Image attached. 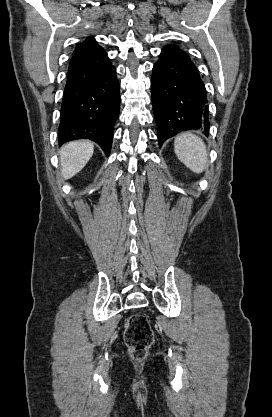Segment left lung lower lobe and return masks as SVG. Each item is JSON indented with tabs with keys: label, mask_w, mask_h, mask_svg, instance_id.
I'll list each match as a JSON object with an SVG mask.
<instances>
[{
	"label": "left lung lower lobe",
	"mask_w": 272,
	"mask_h": 417,
	"mask_svg": "<svg viewBox=\"0 0 272 417\" xmlns=\"http://www.w3.org/2000/svg\"><path fill=\"white\" fill-rule=\"evenodd\" d=\"M152 104L160 145L180 131L209 132L207 93L199 72L180 48L166 46L153 66Z\"/></svg>",
	"instance_id": "1"
}]
</instances>
